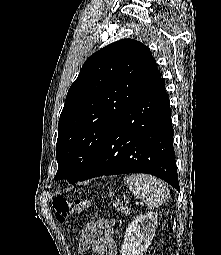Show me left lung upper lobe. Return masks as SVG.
I'll return each mask as SVG.
<instances>
[{"label":"left lung upper lobe","mask_w":221,"mask_h":255,"mask_svg":"<svg viewBox=\"0 0 221 255\" xmlns=\"http://www.w3.org/2000/svg\"><path fill=\"white\" fill-rule=\"evenodd\" d=\"M161 77L150 50L123 39L90 56L71 85L59 118L55 179L77 182L130 106Z\"/></svg>","instance_id":"5c2ea615"}]
</instances>
